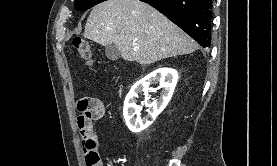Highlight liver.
Returning a JSON list of instances; mask_svg holds the SVG:
<instances>
[{"label": "liver", "instance_id": "liver-1", "mask_svg": "<svg viewBox=\"0 0 277 166\" xmlns=\"http://www.w3.org/2000/svg\"><path fill=\"white\" fill-rule=\"evenodd\" d=\"M84 37L103 46L114 44L124 60L141 65L198 48L182 29L140 0H106L94 6Z\"/></svg>", "mask_w": 277, "mask_h": 166}]
</instances>
